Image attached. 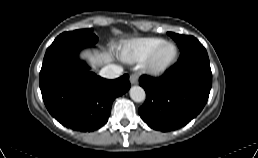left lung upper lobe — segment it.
<instances>
[{
	"label": "left lung upper lobe",
	"instance_id": "left-lung-upper-lobe-1",
	"mask_svg": "<svg viewBox=\"0 0 258 158\" xmlns=\"http://www.w3.org/2000/svg\"><path fill=\"white\" fill-rule=\"evenodd\" d=\"M168 34H169L170 37H172L177 42V45H178L180 51L186 49L192 43H195V42L198 41L193 36L179 35V34L172 33V32H169Z\"/></svg>",
	"mask_w": 258,
	"mask_h": 158
}]
</instances>
